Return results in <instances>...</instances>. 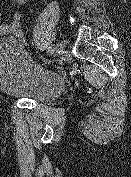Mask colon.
<instances>
[{
    "instance_id": "obj_1",
    "label": "colon",
    "mask_w": 131,
    "mask_h": 177,
    "mask_svg": "<svg viewBox=\"0 0 131 177\" xmlns=\"http://www.w3.org/2000/svg\"><path fill=\"white\" fill-rule=\"evenodd\" d=\"M8 23L11 27L12 36L15 37L21 44L27 46L28 39L22 29V14L16 6H14L10 11Z\"/></svg>"
}]
</instances>
